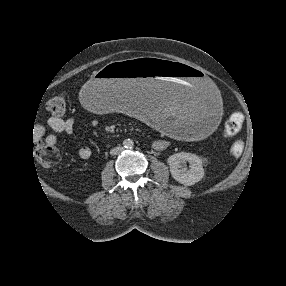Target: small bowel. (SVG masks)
<instances>
[{
    "label": "small bowel",
    "mask_w": 286,
    "mask_h": 286,
    "mask_svg": "<svg viewBox=\"0 0 286 286\" xmlns=\"http://www.w3.org/2000/svg\"><path fill=\"white\" fill-rule=\"evenodd\" d=\"M93 125H96V121L92 122ZM46 127L53 130L55 133H65L71 134L75 128V120L73 118H58L50 117L43 124L38 125L35 128V136L39 137L44 135ZM47 140L51 143L57 142L56 134H50L47 136ZM169 145V142L166 139H159L154 143L156 149H166ZM80 158L86 160L92 156V151L89 147H82L79 150Z\"/></svg>",
    "instance_id": "c3829d8e"
}]
</instances>
